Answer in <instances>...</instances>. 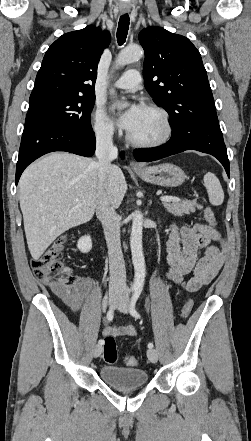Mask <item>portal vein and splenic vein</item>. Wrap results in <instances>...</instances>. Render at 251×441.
<instances>
[{
  "mask_svg": "<svg viewBox=\"0 0 251 441\" xmlns=\"http://www.w3.org/2000/svg\"><path fill=\"white\" fill-rule=\"evenodd\" d=\"M160 200H161L163 203L180 201L179 198H177V197H173V196H162V197L160 198Z\"/></svg>",
  "mask_w": 251,
  "mask_h": 441,
  "instance_id": "obj_1",
  "label": "portal vein and splenic vein"
}]
</instances>
